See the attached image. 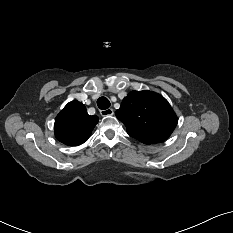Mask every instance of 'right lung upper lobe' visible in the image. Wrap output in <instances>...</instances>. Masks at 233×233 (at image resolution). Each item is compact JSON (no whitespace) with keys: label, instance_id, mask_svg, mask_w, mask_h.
I'll return each mask as SVG.
<instances>
[{"label":"right lung upper lobe","instance_id":"right-lung-upper-lobe-1","mask_svg":"<svg viewBox=\"0 0 233 233\" xmlns=\"http://www.w3.org/2000/svg\"><path fill=\"white\" fill-rule=\"evenodd\" d=\"M97 116H90L79 101L69 102L55 119V137L69 146L84 143L98 123Z\"/></svg>","mask_w":233,"mask_h":233}]
</instances>
